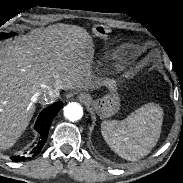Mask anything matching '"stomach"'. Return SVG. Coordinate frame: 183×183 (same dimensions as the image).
I'll return each mask as SVG.
<instances>
[{"label": "stomach", "mask_w": 183, "mask_h": 183, "mask_svg": "<svg viewBox=\"0 0 183 183\" xmlns=\"http://www.w3.org/2000/svg\"><path fill=\"white\" fill-rule=\"evenodd\" d=\"M100 102L99 110L103 116L113 113L118 106V97L111 93L98 100Z\"/></svg>", "instance_id": "stomach-1"}]
</instances>
